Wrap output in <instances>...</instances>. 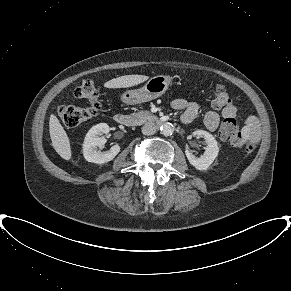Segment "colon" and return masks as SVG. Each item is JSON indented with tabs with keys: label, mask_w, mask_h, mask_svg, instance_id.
I'll return each mask as SVG.
<instances>
[{
	"label": "colon",
	"mask_w": 291,
	"mask_h": 291,
	"mask_svg": "<svg viewBox=\"0 0 291 291\" xmlns=\"http://www.w3.org/2000/svg\"><path fill=\"white\" fill-rule=\"evenodd\" d=\"M78 100L86 103L85 106L62 105L58 109L62 123L68 127H75L91 119L100 109L99 92L92 78L84 79L74 91ZM230 96L224 86L218 85L213 92L212 106L222 109L229 105ZM221 138L244 154H250L254 146L246 142L234 117L225 118L220 126Z\"/></svg>",
	"instance_id": "obj_1"
}]
</instances>
